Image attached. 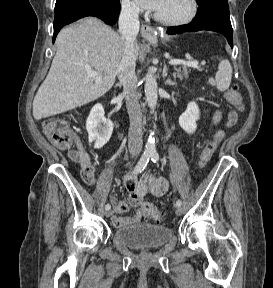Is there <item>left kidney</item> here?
Returning <instances> with one entry per match:
<instances>
[{"label":"left kidney","instance_id":"5707ae66","mask_svg":"<svg viewBox=\"0 0 273 288\" xmlns=\"http://www.w3.org/2000/svg\"><path fill=\"white\" fill-rule=\"evenodd\" d=\"M200 118L199 107L195 102L187 105L186 111L179 117L180 127L187 133L192 134L197 128L196 121Z\"/></svg>","mask_w":273,"mask_h":288}]
</instances>
